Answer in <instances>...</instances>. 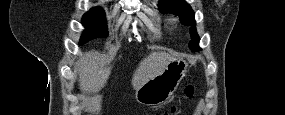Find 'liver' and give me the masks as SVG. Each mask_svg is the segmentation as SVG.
<instances>
[{
    "label": "liver",
    "mask_w": 285,
    "mask_h": 115,
    "mask_svg": "<svg viewBox=\"0 0 285 115\" xmlns=\"http://www.w3.org/2000/svg\"><path fill=\"white\" fill-rule=\"evenodd\" d=\"M174 57L165 52H152L140 62L132 77V86L140 88L149 79L161 74ZM75 70L79 73V87L82 91L99 92L106 84L111 67L103 68L97 56L81 57Z\"/></svg>",
    "instance_id": "liver-1"
}]
</instances>
